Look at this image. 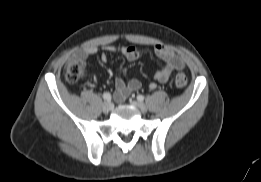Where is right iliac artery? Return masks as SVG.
I'll return each mask as SVG.
<instances>
[{
  "label": "right iliac artery",
  "instance_id": "right-iliac-artery-1",
  "mask_svg": "<svg viewBox=\"0 0 261 182\" xmlns=\"http://www.w3.org/2000/svg\"><path fill=\"white\" fill-rule=\"evenodd\" d=\"M103 99L107 100V101H110L111 100V94L109 92H105L103 94Z\"/></svg>",
  "mask_w": 261,
  "mask_h": 182
}]
</instances>
